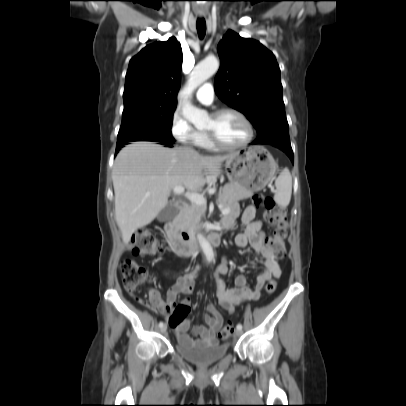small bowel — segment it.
<instances>
[{"mask_svg": "<svg viewBox=\"0 0 406 406\" xmlns=\"http://www.w3.org/2000/svg\"><path fill=\"white\" fill-rule=\"evenodd\" d=\"M238 215L239 208L234 205L224 216L222 223L232 226ZM255 215L256 208L254 206H248L244 210L241 217L244 230L236 235L235 244L247 252L250 249L254 250L259 255L257 262L262 264L264 269L256 277L254 286L249 284L244 275H238L235 278V287H228L224 278L230 272L229 258L225 257L222 260L215 275L214 289L220 305L228 313H233L235 308L243 301L258 300L265 284L281 275V270L274 260L273 250L265 243V236L262 231L263 224L261 221L254 220ZM168 275L175 279V284L168 290L167 299L163 300L157 290H151L149 300L153 308L170 320L178 295H190L193 292L195 271L186 275L173 273ZM180 305L190 308V300L186 298ZM207 311L208 314L204 317L206 326H195L193 328V333L198 337L197 340H193L187 335L190 328L188 319L185 318L175 325L170 324L175 331L178 342L187 346H212L217 344L216 335L223 325V317L212 304L207 306Z\"/></svg>", "mask_w": 406, "mask_h": 406, "instance_id": "c3829d8e", "label": "small bowel"}]
</instances>
